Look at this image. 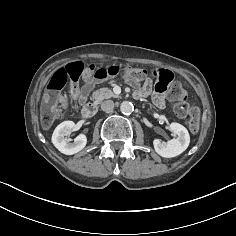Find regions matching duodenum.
<instances>
[{
  "label": "duodenum",
  "instance_id": "obj_1",
  "mask_svg": "<svg viewBox=\"0 0 236 236\" xmlns=\"http://www.w3.org/2000/svg\"><path fill=\"white\" fill-rule=\"evenodd\" d=\"M97 108L93 103H87L82 109V116L84 119H91L96 115Z\"/></svg>",
  "mask_w": 236,
  "mask_h": 236
}]
</instances>
